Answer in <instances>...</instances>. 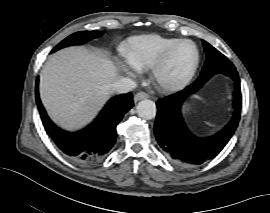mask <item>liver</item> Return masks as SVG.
<instances>
[{
	"instance_id": "obj_1",
	"label": "liver",
	"mask_w": 270,
	"mask_h": 213,
	"mask_svg": "<svg viewBox=\"0 0 270 213\" xmlns=\"http://www.w3.org/2000/svg\"><path fill=\"white\" fill-rule=\"evenodd\" d=\"M116 79L113 63L101 52L68 47L53 54L40 73V96L58 125L78 129L101 109Z\"/></svg>"
}]
</instances>
